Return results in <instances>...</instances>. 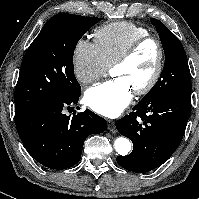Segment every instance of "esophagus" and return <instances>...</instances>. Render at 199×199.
<instances>
[{
    "instance_id": "34e87169",
    "label": "esophagus",
    "mask_w": 199,
    "mask_h": 199,
    "mask_svg": "<svg viewBox=\"0 0 199 199\" xmlns=\"http://www.w3.org/2000/svg\"><path fill=\"white\" fill-rule=\"evenodd\" d=\"M107 128L110 131H114L115 130V122L113 120L108 119L107 120Z\"/></svg>"
}]
</instances>
